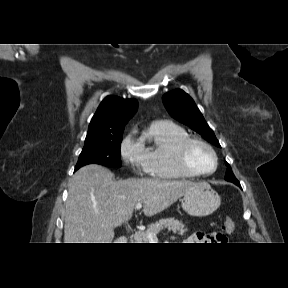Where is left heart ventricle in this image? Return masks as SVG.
Instances as JSON below:
<instances>
[{"instance_id":"1","label":"left heart ventricle","mask_w":288,"mask_h":288,"mask_svg":"<svg viewBox=\"0 0 288 288\" xmlns=\"http://www.w3.org/2000/svg\"><path fill=\"white\" fill-rule=\"evenodd\" d=\"M190 164L199 171L213 170L215 161L212 154L201 145H193L188 154Z\"/></svg>"}]
</instances>
